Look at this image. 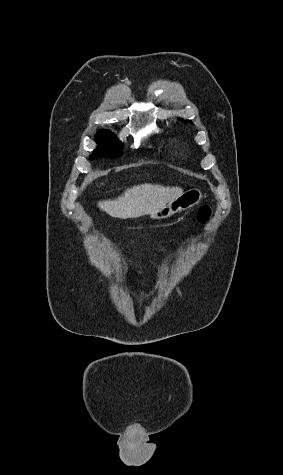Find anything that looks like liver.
<instances>
[{
    "label": "liver",
    "mask_w": 283,
    "mask_h": 475,
    "mask_svg": "<svg viewBox=\"0 0 283 475\" xmlns=\"http://www.w3.org/2000/svg\"><path fill=\"white\" fill-rule=\"evenodd\" d=\"M182 194H184L182 188L141 184V186L127 188L126 192L116 200H102L97 206L112 218L127 220V218H140V216L156 212Z\"/></svg>",
    "instance_id": "6515ba94"
}]
</instances>
